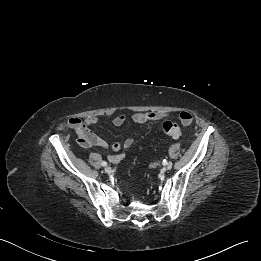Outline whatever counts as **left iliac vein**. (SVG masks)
<instances>
[{
  "label": "left iliac vein",
  "mask_w": 261,
  "mask_h": 261,
  "mask_svg": "<svg viewBox=\"0 0 261 261\" xmlns=\"http://www.w3.org/2000/svg\"><path fill=\"white\" fill-rule=\"evenodd\" d=\"M171 168H172V163L167 162V164L165 165V169L170 170Z\"/></svg>",
  "instance_id": "1"
}]
</instances>
